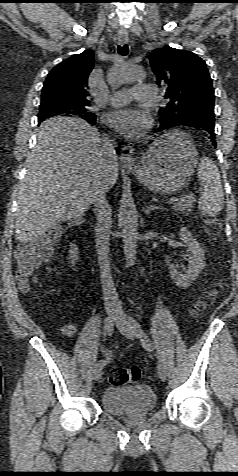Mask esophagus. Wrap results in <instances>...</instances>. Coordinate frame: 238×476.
Wrapping results in <instances>:
<instances>
[{"label": "esophagus", "instance_id": "34e87169", "mask_svg": "<svg viewBox=\"0 0 238 476\" xmlns=\"http://www.w3.org/2000/svg\"><path fill=\"white\" fill-rule=\"evenodd\" d=\"M118 42L124 45L129 42V36L127 33H120L118 35ZM120 162L124 166H134L135 160L133 158V148L128 145H124L121 149Z\"/></svg>", "mask_w": 238, "mask_h": 476}]
</instances>
